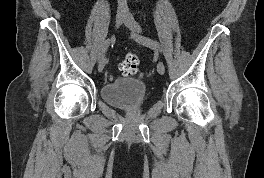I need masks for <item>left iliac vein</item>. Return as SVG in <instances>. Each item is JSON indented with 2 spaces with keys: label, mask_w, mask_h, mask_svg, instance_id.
<instances>
[{
  "label": "left iliac vein",
  "mask_w": 264,
  "mask_h": 178,
  "mask_svg": "<svg viewBox=\"0 0 264 178\" xmlns=\"http://www.w3.org/2000/svg\"><path fill=\"white\" fill-rule=\"evenodd\" d=\"M124 23L132 31L133 35H137V33L141 32L140 25L131 15L127 16V19ZM157 71L160 75H163L165 73V65L163 64V62H158Z\"/></svg>",
  "instance_id": "4c4485c4"
}]
</instances>
